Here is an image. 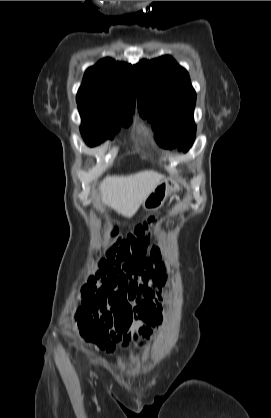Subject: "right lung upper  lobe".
<instances>
[{
	"label": "right lung upper lobe",
	"instance_id": "obj_1",
	"mask_svg": "<svg viewBox=\"0 0 271 418\" xmlns=\"http://www.w3.org/2000/svg\"><path fill=\"white\" fill-rule=\"evenodd\" d=\"M135 99L131 65L110 58L86 70L77 93L78 109L102 115H131Z\"/></svg>",
	"mask_w": 271,
	"mask_h": 418
}]
</instances>
